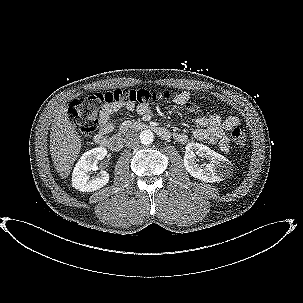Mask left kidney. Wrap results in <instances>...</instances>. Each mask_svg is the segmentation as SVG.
Wrapping results in <instances>:
<instances>
[{"instance_id": "1", "label": "left kidney", "mask_w": 303, "mask_h": 303, "mask_svg": "<svg viewBox=\"0 0 303 303\" xmlns=\"http://www.w3.org/2000/svg\"><path fill=\"white\" fill-rule=\"evenodd\" d=\"M184 156V166L191 176L204 182H218L231 173L230 161L223 155L200 143H188ZM195 155L206 158L209 163L199 165Z\"/></svg>"}]
</instances>
